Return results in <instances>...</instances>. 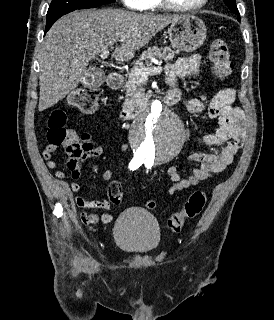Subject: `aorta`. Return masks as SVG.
Masks as SVG:
<instances>
[{"label": "aorta", "mask_w": 274, "mask_h": 320, "mask_svg": "<svg viewBox=\"0 0 274 320\" xmlns=\"http://www.w3.org/2000/svg\"><path fill=\"white\" fill-rule=\"evenodd\" d=\"M130 141L141 159L165 163L180 152L184 143V129L177 115L155 100L149 112L135 120Z\"/></svg>", "instance_id": "762f6f07"}]
</instances>
